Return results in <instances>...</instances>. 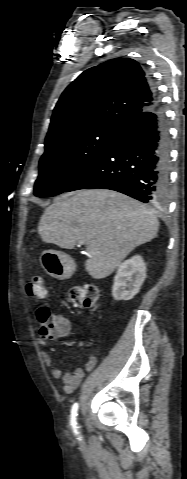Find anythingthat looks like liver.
I'll use <instances>...</instances> for the list:
<instances>
[{
	"label": "liver",
	"instance_id": "1",
	"mask_svg": "<svg viewBox=\"0 0 187 479\" xmlns=\"http://www.w3.org/2000/svg\"><path fill=\"white\" fill-rule=\"evenodd\" d=\"M159 221L152 209L124 194L88 189L57 197L41 216L43 242L73 249L84 242L86 270L106 278L137 246L157 236Z\"/></svg>",
	"mask_w": 187,
	"mask_h": 479
}]
</instances>
